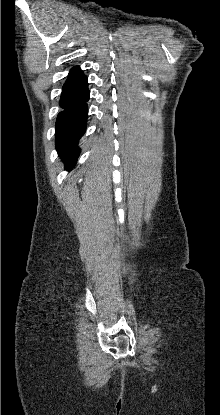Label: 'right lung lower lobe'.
Wrapping results in <instances>:
<instances>
[{
  "mask_svg": "<svg viewBox=\"0 0 220 415\" xmlns=\"http://www.w3.org/2000/svg\"><path fill=\"white\" fill-rule=\"evenodd\" d=\"M89 94L87 77L73 67L63 85L59 102L63 111L57 116L55 134L56 149L67 170L73 168L80 153L78 142L86 130Z\"/></svg>",
  "mask_w": 220,
  "mask_h": 415,
  "instance_id": "right-lung-lower-lobe-1",
  "label": "right lung lower lobe"
}]
</instances>
